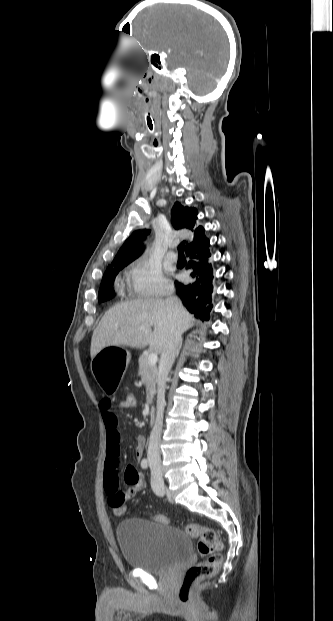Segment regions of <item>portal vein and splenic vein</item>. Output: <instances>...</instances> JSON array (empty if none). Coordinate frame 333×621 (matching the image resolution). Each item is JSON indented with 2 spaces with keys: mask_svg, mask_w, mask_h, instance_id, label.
Returning a JSON list of instances; mask_svg holds the SVG:
<instances>
[{
  "mask_svg": "<svg viewBox=\"0 0 333 621\" xmlns=\"http://www.w3.org/2000/svg\"><path fill=\"white\" fill-rule=\"evenodd\" d=\"M140 330H141V329H140ZM157 360H158V357H157V354H156V353H151V354H149V356H148V363H149L150 365H155V364H156V362H157Z\"/></svg>",
  "mask_w": 333,
  "mask_h": 621,
  "instance_id": "obj_1",
  "label": "portal vein and splenic vein"
}]
</instances>
